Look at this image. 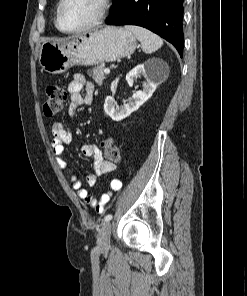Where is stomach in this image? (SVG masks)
<instances>
[{
  "instance_id": "obj_1",
  "label": "stomach",
  "mask_w": 247,
  "mask_h": 296,
  "mask_svg": "<svg viewBox=\"0 0 247 296\" xmlns=\"http://www.w3.org/2000/svg\"><path fill=\"white\" fill-rule=\"evenodd\" d=\"M137 47L135 35L108 26L81 33L68 41H46L39 51V63L50 74H61L74 65L94 66L131 55Z\"/></svg>"
}]
</instances>
